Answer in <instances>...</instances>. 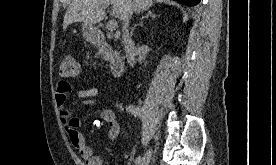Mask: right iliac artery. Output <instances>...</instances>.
Returning a JSON list of instances; mask_svg holds the SVG:
<instances>
[{
	"mask_svg": "<svg viewBox=\"0 0 276 165\" xmlns=\"http://www.w3.org/2000/svg\"><path fill=\"white\" fill-rule=\"evenodd\" d=\"M127 111H128V112H131L134 116H140V115H141V113H140V108H139V107H135V106H133V105L128 106V107H127ZM140 160H141V157H140V156L137 157V158L135 159V165H138L139 162H140Z\"/></svg>",
	"mask_w": 276,
	"mask_h": 165,
	"instance_id": "right-iliac-artery-1",
	"label": "right iliac artery"
}]
</instances>
